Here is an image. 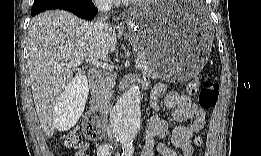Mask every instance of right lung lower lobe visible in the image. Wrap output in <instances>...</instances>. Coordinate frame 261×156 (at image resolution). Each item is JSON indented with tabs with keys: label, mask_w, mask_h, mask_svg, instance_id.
<instances>
[{
	"label": "right lung lower lobe",
	"mask_w": 261,
	"mask_h": 156,
	"mask_svg": "<svg viewBox=\"0 0 261 156\" xmlns=\"http://www.w3.org/2000/svg\"><path fill=\"white\" fill-rule=\"evenodd\" d=\"M51 9L66 10L84 19H93L97 13L91 0H64L61 3L33 8L31 14L36 15Z\"/></svg>",
	"instance_id": "obj_1"
}]
</instances>
